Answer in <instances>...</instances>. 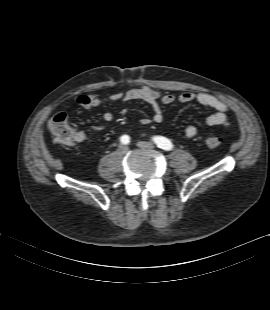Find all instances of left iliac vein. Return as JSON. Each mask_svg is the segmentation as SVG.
Here are the masks:
<instances>
[{"label": "left iliac vein", "mask_w": 270, "mask_h": 310, "mask_svg": "<svg viewBox=\"0 0 270 310\" xmlns=\"http://www.w3.org/2000/svg\"><path fill=\"white\" fill-rule=\"evenodd\" d=\"M138 147L143 149H153L154 145L150 142L140 141L137 143Z\"/></svg>", "instance_id": "obj_1"}]
</instances>
